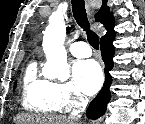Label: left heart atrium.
Returning <instances> with one entry per match:
<instances>
[{
	"mask_svg": "<svg viewBox=\"0 0 145 124\" xmlns=\"http://www.w3.org/2000/svg\"><path fill=\"white\" fill-rule=\"evenodd\" d=\"M73 74L79 89L87 95L96 93L103 82L101 68L94 60L77 62L74 65Z\"/></svg>",
	"mask_w": 145,
	"mask_h": 124,
	"instance_id": "obj_1",
	"label": "left heart atrium"
}]
</instances>
